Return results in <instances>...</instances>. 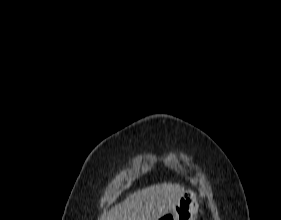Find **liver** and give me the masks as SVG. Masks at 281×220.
Returning a JSON list of instances; mask_svg holds the SVG:
<instances>
[{
  "label": "liver",
  "mask_w": 281,
  "mask_h": 220,
  "mask_svg": "<svg viewBox=\"0 0 281 220\" xmlns=\"http://www.w3.org/2000/svg\"><path fill=\"white\" fill-rule=\"evenodd\" d=\"M184 192L176 183L151 185L129 195L101 216V220H158L171 212Z\"/></svg>",
  "instance_id": "1"
}]
</instances>
